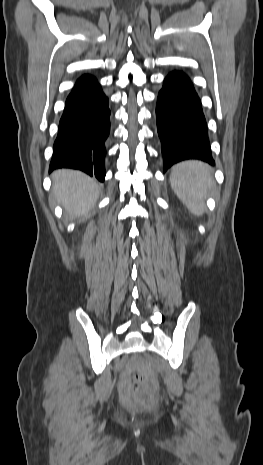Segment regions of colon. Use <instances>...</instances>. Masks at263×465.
Listing matches in <instances>:
<instances>
[{
	"mask_svg": "<svg viewBox=\"0 0 263 465\" xmlns=\"http://www.w3.org/2000/svg\"><path fill=\"white\" fill-rule=\"evenodd\" d=\"M154 389L155 385L153 382L142 377L139 378L136 396L139 401L146 407H151L154 404Z\"/></svg>",
	"mask_w": 263,
	"mask_h": 465,
	"instance_id": "5ec220e1",
	"label": "colon"
}]
</instances>
